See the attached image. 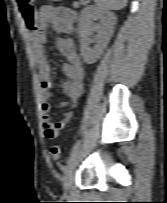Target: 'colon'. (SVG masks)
<instances>
[{"mask_svg":"<svg viewBox=\"0 0 167 203\" xmlns=\"http://www.w3.org/2000/svg\"><path fill=\"white\" fill-rule=\"evenodd\" d=\"M21 18L28 29L35 27L34 3L35 0H16ZM50 155L55 161L61 159V148L59 145H53L50 149Z\"/></svg>","mask_w":167,"mask_h":203,"instance_id":"5ec220e1","label":"colon"}]
</instances>
